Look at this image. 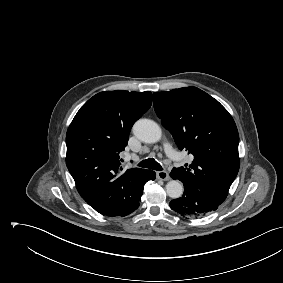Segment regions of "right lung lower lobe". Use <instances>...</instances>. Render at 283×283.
<instances>
[{
	"label": "right lung lower lobe",
	"mask_w": 283,
	"mask_h": 283,
	"mask_svg": "<svg viewBox=\"0 0 283 283\" xmlns=\"http://www.w3.org/2000/svg\"><path fill=\"white\" fill-rule=\"evenodd\" d=\"M154 179H155V172L152 171V170H148L147 173L143 175V182L144 183L148 180H154ZM139 201H140V199L137 202H135L127 211H125L124 213H122L119 216L123 217V216L129 215L130 213L135 211L140 205Z\"/></svg>",
	"instance_id": "1"
}]
</instances>
